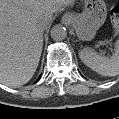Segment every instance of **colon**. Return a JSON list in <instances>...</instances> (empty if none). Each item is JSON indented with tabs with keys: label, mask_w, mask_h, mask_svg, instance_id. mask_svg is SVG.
Masks as SVG:
<instances>
[{
	"label": "colon",
	"mask_w": 119,
	"mask_h": 119,
	"mask_svg": "<svg viewBox=\"0 0 119 119\" xmlns=\"http://www.w3.org/2000/svg\"><path fill=\"white\" fill-rule=\"evenodd\" d=\"M110 20L113 26V29L116 33L119 30V5H115L112 7L110 11Z\"/></svg>",
	"instance_id": "obj_1"
}]
</instances>
